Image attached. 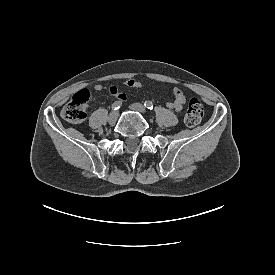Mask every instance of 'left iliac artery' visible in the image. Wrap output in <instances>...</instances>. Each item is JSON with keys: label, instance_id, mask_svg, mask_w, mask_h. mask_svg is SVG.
Listing matches in <instances>:
<instances>
[{"label": "left iliac artery", "instance_id": "44dca946", "mask_svg": "<svg viewBox=\"0 0 275 275\" xmlns=\"http://www.w3.org/2000/svg\"><path fill=\"white\" fill-rule=\"evenodd\" d=\"M144 106L150 110L153 109V104L151 101H145Z\"/></svg>", "mask_w": 275, "mask_h": 275}]
</instances>
